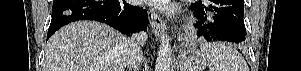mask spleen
<instances>
[{
    "instance_id": "spleen-1",
    "label": "spleen",
    "mask_w": 301,
    "mask_h": 71,
    "mask_svg": "<svg viewBox=\"0 0 301 71\" xmlns=\"http://www.w3.org/2000/svg\"><path fill=\"white\" fill-rule=\"evenodd\" d=\"M209 63L210 71H249L238 50L224 43L208 42L200 47Z\"/></svg>"
}]
</instances>
